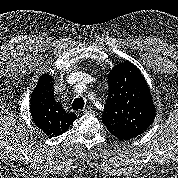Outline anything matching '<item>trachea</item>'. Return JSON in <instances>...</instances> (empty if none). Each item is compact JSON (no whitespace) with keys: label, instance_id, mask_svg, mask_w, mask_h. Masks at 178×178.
<instances>
[{"label":"trachea","instance_id":"trachea-1","mask_svg":"<svg viewBox=\"0 0 178 178\" xmlns=\"http://www.w3.org/2000/svg\"><path fill=\"white\" fill-rule=\"evenodd\" d=\"M84 104H85V102H84L83 98H76L73 101L72 108H73V110H81V109H83Z\"/></svg>","mask_w":178,"mask_h":178}]
</instances>
